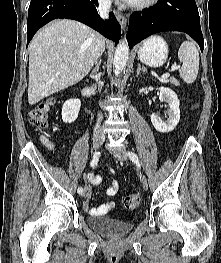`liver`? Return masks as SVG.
<instances>
[{"label":"liver","mask_w":221,"mask_h":263,"mask_svg":"<svg viewBox=\"0 0 221 263\" xmlns=\"http://www.w3.org/2000/svg\"><path fill=\"white\" fill-rule=\"evenodd\" d=\"M99 36L69 19L53 21L41 29L29 45V104L81 81L99 58Z\"/></svg>","instance_id":"liver-1"}]
</instances>
